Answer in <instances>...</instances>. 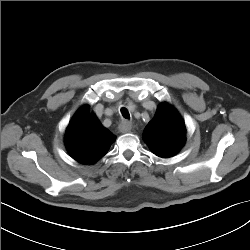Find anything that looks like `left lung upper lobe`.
I'll list each match as a JSON object with an SVG mask.
<instances>
[{"mask_svg":"<svg viewBox=\"0 0 250 250\" xmlns=\"http://www.w3.org/2000/svg\"><path fill=\"white\" fill-rule=\"evenodd\" d=\"M185 134V124L178 112L168 103H161L144 129L143 139L154 154L167 158L183 147Z\"/></svg>","mask_w":250,"mask_h":250,"instance_id":"1","label":"left lung upper lobe"}]
</instances>
